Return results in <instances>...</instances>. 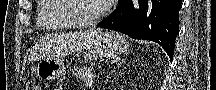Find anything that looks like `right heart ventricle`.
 <instances>
[{
	"label": "right heart ventricle",
	"mask_w": 216,
	"mask_h": 90,
	"mask_svg": "<svg viewBox=\"0 0 216 90\" xmlns=\"http://www.w3.org/2000/svg\"><path fill=\"white\" fill-rule=\"evenodd\" d=\"M40 6L35 7L37 14L36 25L38 29H68L73 28L65 20L64 14H58L64 0H38ZM45 16V17H44Z\"/></svg>",
	"instance_id": "obj_1"
}]
</instances>
